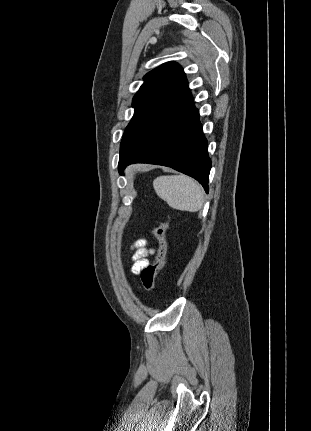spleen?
Here are the masks:
<instances>
[{
  "label": "spleen",
  "mask_w": 311,
  "mask_h": 431,
  "mask_svg": "<svg viewBox=\"0 0 311 431\" xmlns=\"http://www.w3.org/2000/svg\"><path fill=\"white\" fill-rule=\"evenodd\" d=\"M153 188L170 208L182 212H198L204 202L203 190L195 180L188 176H159L153 182Z\"/></svg>",
  "instance_id": "1"
}]
</instances>
